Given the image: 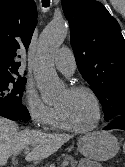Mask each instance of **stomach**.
Returning a JSON list of instances; mask_svg holds the SVG:
<instances>
[{
  "mask_svg": "<svg viewBox=\"0 0 125 167\" xmlns=\"http://www.w3.org/2000/svg\"><path fill=\"white\" fill-rule=\"evenodd\" d=\"M78 149L87 159L97 162L113 158L119 151V142L108 132L89 133L78 140Z\"/></svg>",
  "mask_w": 125,
  "mask_h": 167,
  "instance_id": "obj_1",
  "label": "stomach"
}]
</instances>
